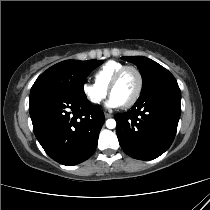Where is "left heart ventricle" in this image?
I'll use <instances>...</instances> for the list:
<instances>
[{
    "label": "left heart ventricle",
    "instance_id": "left-heart-ventricle-1",
    "mask_svg": "<svg viewBox=\"0 0 210 210\" xmlns=\"http://www.w3.org/2000/svg\"><path fill=\"white\" fill-rule=\"evenodd\" d=\"M138 88V76L132 71H126L119 83L112 90L111 95L116 97L122 105L128 102L136 93Z\"/></svg>",
    "mask_w": 210,
    "mask_h": 210
}]
</instances>
